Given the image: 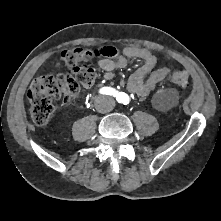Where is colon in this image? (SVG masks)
Segmentation results:
<instances>
[{
    "label": "colon",
    "mask_w": 221,
    "mask_h": 221,
    "mask_svg": "<svg viewBox=\"0 0 221 221\" xmlns=\"http://www.w3.org/2000/svg\"><path fill=\"white\" fill-rule=\"evenodd\" d=\"M114 52L115 48L111 46L74 47L65 50L61 58L70 71L65 74L40 76L30 86L28 98L33 122L38 126L47 124L53 114L54 101H72L82 91L91 88L96 74L86 63L94 58L111 56ZM167 78L169 82L179 86H186L189 82V75L184 70L169 73Z\"/></svg>",
    "instance_id": "1"
}]
</instances>
